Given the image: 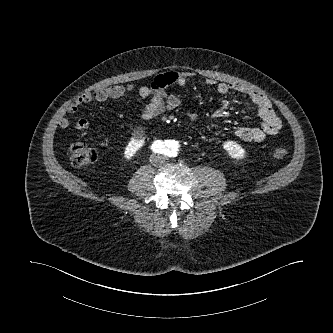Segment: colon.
I'll use <instances>...</instances> for the list:
<instances>
[{
  "mask_svg": "<svg viewBox=\"0 0 333 333\" xmlns=\"http://www.w3.org/2000/svg\"><path fill=\"white\" fill-rule=\"evenodd\" d=\"M69 159L74 167L82 168L90 165L96 160L97 154L94 148L87 144L76 143L70 146L68 150ZM288 155L286 148H276L272 152V157L276 159H284Z\"/></svg>",
  "mask_w": 333,
  "mask_h": 333,
  "instance_id": "1",
  "label": "colon"
}]
</instances>
